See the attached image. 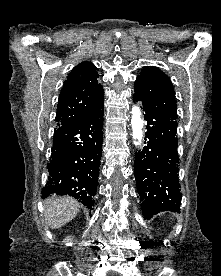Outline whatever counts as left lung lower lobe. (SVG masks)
<instances>
[{
    "label": "left lung lower lobe",
    "instance_id": "0a47b994",
    "mask_svg": "<svg viewBox=\"0 0 221 276\" xmlns=\"http://www.w3.org/2000/svg\"><path fill=\"white\" fill-rule=\"evenodd\" d=\"M133 100L139 101L134 96ZM142 108L147 121L146 142L143 149L135 154L134 173L142 213L145 219H150L161 211H180L178 124L176 120L160 117Z\"/></svg>",
    "mask_w": 221,
    "mask_h": 276
}]
</instances>
